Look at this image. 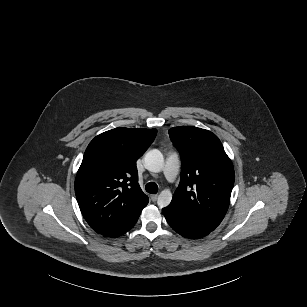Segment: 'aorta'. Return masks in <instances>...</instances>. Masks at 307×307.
Segmentation results:
<instances>
[{
	"label": "aorta",
	"instance_id": "aorta-1",
	"mask_svg": "<svg viewBox=\"0 0 307 307\" xmlns=\"http://www.w3.org/2000/svg\"><path fill=\"white\" fill-rule=\"evenodd\" d=\"M145 168L154 173L161 172L164 167L163 154L158 149H152L145 154L144 157ZM172 193L166 189L161 191L157 197V204L160 208L166 207L171 203Z\"/></svg>",
	"mask_w": 307,
	"mask_h": 307
}]
</instances>
